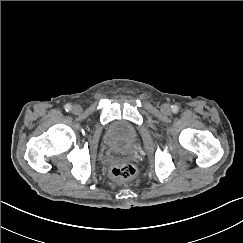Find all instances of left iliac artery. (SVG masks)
Segmentation results:
<instances>
[{
    "instance_id": "44dca946",
    "label": "left iliac artery",
    "mask_w": 243,
    "mask_h": 243,
    "mask_svg": "<svg viewBox=\"0 0 243 243\" xmlns=\"http://www.w3.org/2000/svg\"><path fill=\"white\" fill-rule=\"evenodd\" d=\"M172 110L173 112H177L178 111V107L176 105L172 106Z\"/></svg>"
}]
</instances>
